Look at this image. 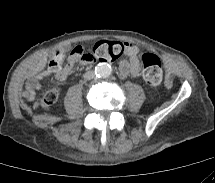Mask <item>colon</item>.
<instances>
[{
    "instance_id": "1",
    "label": "colon",
    "mask_w": 215,
    "mask_h": 183,
    "mask_svg": "<svg viewBox=\"0 0 215 183\" xmlns=\"http://www.w3.org/2000/svg\"><path fill=\"white\" fill-rule=\"evenodd\" d=\"M125 45L118 41L100 40L97 41L91 51L86 52L82 47H75L71 51V56L78 62H113L117 60L125 51ZM70 57V56H69ZM143 64V77L151 86H157L162 81V68L160 59L153 53H144L140 56ZM69 58L66 57L62 49H55L52 53L49 70L52 73L60 72ZM60 90L52 88L35 103V108L47 109L58 99Z\"/></svg>"
}]
</instances>
